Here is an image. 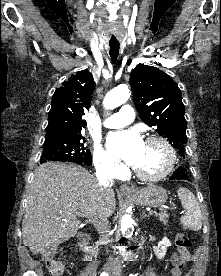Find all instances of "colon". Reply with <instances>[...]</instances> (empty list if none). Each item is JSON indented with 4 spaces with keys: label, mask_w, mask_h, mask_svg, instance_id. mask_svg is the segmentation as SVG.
<instances>
[{
    "label": "colon",
    "mask_w": 221,
    "mask_h": 276,
    "mask_svg": "<svg viewBox=\"0 0 221 276\" xmlns=\"http://www.w3.org/2000/svg\"><path fill=\"white\" fill-rule=\"evenodd\" d=\"M176 245L179 249L188 251L192 246V242L185 234H178ZM56 252L55 246H45L41 249V256L51 276H64L65 264L63 261L55 259Z\"/></svg>",
    "instance_id": "colon-1"
}]
</instances>
